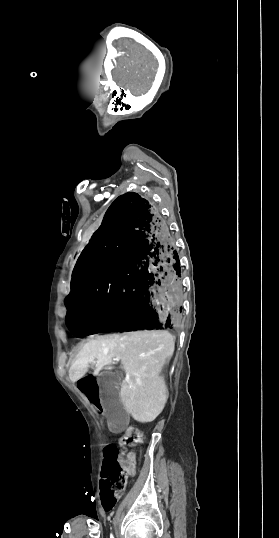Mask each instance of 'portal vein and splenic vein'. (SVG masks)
<instances>
[{"instance_id": "18ae733b", "label": "portal vein and splenic vein", "mask_w": 279, "mask_h": 538, "mask_svg": "<svg viewBox=\"0 0 279 538\" xmlns=\"http://www.w3.org/2000/svg\"><path fill=\"white\" fill-rule=\"evenodd\" d=\"M114 360H116V362H119V358H114Z\"/></svg>"}]
</instances>
